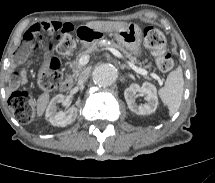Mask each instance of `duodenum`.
Instances as JSON below:
<instances>
[{"instance_id": "410a0bca", "label": "duodenum", "mask_w": 215, "mask_h": 183, "mask_svg": "<svg viewBox=\"0 0 215 183\" xmlns=\"http://www.w3.org/2000/svg\"><path fill=\"white\" fill-rule=\"evenodd\" d=\"M72 87V80L66 79L60 83V89L62 91H68Z\"/></svg>"}]
</instances>
